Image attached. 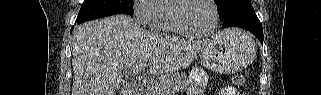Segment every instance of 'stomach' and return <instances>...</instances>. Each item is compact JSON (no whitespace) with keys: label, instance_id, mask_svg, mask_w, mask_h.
Returning <instances> with one entry per match:
<instances>
[{"label":"stomach","instance_id":"obj_1","mask_svg":"<svg viewBox=\"0 0 321 95\" xmlns=\"http://www.w3.org/2000/svg\"><path fill=\"white\" fill-rule=\"evenodd\" d=\"M256 50L251 35L231 29L208 40L200 51V59L210 70L234 73L246 67L254 59Z\"/></svg>","mask_w":321,"mask_h":95}]
</instances>
